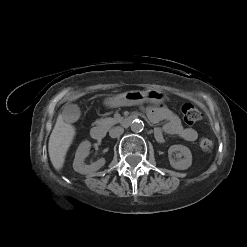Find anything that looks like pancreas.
Returning a JSON list of instances; mask_svg holds the SVG:
<instances>
[{"mask_svg":"<svg viewBox=\"0 0 247 247\" xmlns=\"http://www.w3.org/2000/svg\"><path fill=\"white\" fill-rule=\"evenodd\" d=\"M119 121H120V118L108 117V118H102L100 120H97L96 124L104 127L105 129H109L110 127L118 123Z\"/></svg>","mask_w":247,"mask_h":247,"instance_id":"cf45deb5","label":"pancreas"}]
</instances>
